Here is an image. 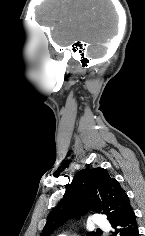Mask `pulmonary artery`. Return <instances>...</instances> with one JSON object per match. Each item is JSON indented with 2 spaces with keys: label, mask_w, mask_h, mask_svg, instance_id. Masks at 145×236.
<instances>
[{
  "label": "pulmonary artery",
  "mask_w": 145,
  "mask_h": 236,
  "mask_svg": "<svg viewBox=\"0 0 145 236\" xmlns=\"http://www.w3.org/2000/svg\"><path fill=\"white\" fill-rule=\"evenodd\" d=\"M91 225L107 229V220L100 214H95L91 220ZM64 236V235H63Z\"/></svg>",
  "instance_id": "e3ab8cb5"
}]
</instances>
